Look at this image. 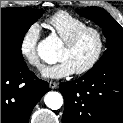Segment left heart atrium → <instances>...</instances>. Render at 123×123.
<instances>
[{
    "mask_svg": "<svg viewBox=\"0 0 123 123\" xmlns=\"http://www.w3.org/2000/svg\"><path fill=\"white\" fill-rule=\"evenodd\" d=\"M75 72L71 64L66 60H59L57 63L43 69L42 76L49 79H60Z\"/></svg>",
    "mask_w": 123,
    "mask_h": 123,
    "instance_id": "39dd6f15",
    "label": "left heart atrium"
}]
</instances>
